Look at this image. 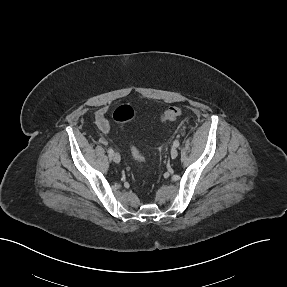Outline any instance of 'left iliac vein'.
Returning <instances> with one entry per match:
<instances>
[{
  "instance_id": "1",
  "label": "left iliac vein",
  "mask_w": 287,
  "mask_h": 287,
  "mask_svg": "<svg viewBox=\"0 0 287 287\" xmlns=\"http://www.w3.org/2000/svg\"><path fill=\"white\" fill-rule=\"evenodd\" d=\"M177 156H178V149H177V147L173 146L171 148V158L175 159Z\"/></svg>"
}]
</instances>
